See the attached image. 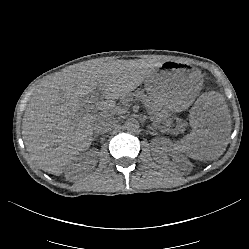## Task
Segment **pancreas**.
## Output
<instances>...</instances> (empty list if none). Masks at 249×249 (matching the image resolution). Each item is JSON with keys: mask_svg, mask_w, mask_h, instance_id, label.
<instances>
[{"mask_svg": "<svg viewBox=\"0 0 249 249\" xmlns=\"http://www.w3.org/2000/svg\"><path fill=\"white\" fill-rule=\"evenodd\" d=\"M136 96L145 105L148 114L153 115V117L157 119V114L162 109V107H160L158 103L153 101L143 91H137ZM162 112L165 113L166 111L162 110Z\"/></svg>", "mask_w": 249, "mask_h": 249, "instance_id": "obj_1", "label": "pancreas"}]
</instances>
